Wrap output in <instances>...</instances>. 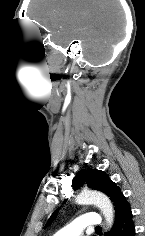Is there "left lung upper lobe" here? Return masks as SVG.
<instances>
[{"label":"left lung upper lobe","mask_w":145,"mask_h":236,"mask_svg":"<svg viewBox=\"0 0 145 236\" xmlns=\"http://www.w3.org/2000/svg\"><path fill=\"white\" fill-rule=\"evenodd\" d=\"M84 183H86L87 186L92 189L105 193L110 198L115 208V215L125 211L130 207L120 188L109 178V176L104 171L82 169L73 178L72 187L76 190ZM57 213L58 209L49 218L46 226H48L53 221Z\"/></svg>","instance_id":"obj_1"}]
</instances>
